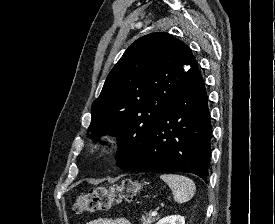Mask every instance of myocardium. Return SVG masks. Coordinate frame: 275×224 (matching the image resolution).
I'll return each instance as SVG.
<instances>
[{
    "mask_svg": "<svg viewBox=\"0 0 275 224\" xmlns=\"http://www.w3.org/2000/svg\"><path fill=\"white\" fill-rule=\"evenodd\" d=\"M112 140L111 139H106L103 143V145L101 146V150L104 153H109L112 149Z\"/></svg>",
    "mask_w": 275,
    "mask_h": 224,
    "instance_id": "obj_1",
    "label": "myocardium"
}]
</instances>
